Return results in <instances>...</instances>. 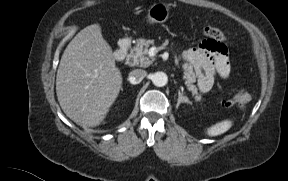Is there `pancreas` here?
I'll list each match as a JSON object with an SVG mask.
<instances>
[{
	"label": "pancreas",
	"mask_w": 288,
	"mask_h": 181,
	"mask_svg": "<svg viewBox=\"0 0 288 181\" xmlns=\"http://www.w3.org/2000/svg\"><path fill=\"white\" fill-rule=\"evenodd\" d=\"M153 44H154L153 40L140 39L138 41L137 45L133 49L134 58L137 63H140L142 66H145L148 64L147 55L149 52L150 45H153ZM182 67L184 69L183 78L185 80L187 89L192 93L195 101L197 102L201 101V95L198 93L197 87L193 84L196 78H195L192 66L189 63L184 62Z\"/></svg>",
	"instance_id": "1"
}]
</instances>
